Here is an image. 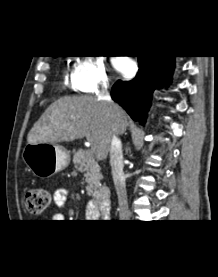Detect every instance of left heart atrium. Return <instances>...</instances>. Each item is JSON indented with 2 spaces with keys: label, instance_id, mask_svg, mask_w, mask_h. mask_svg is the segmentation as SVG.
<instances>
[{
  "label": "left heart atrium",
  "instance_id": "39dd6f15",
  "mask_svg": "<svg viewBox=\"0 0 218 277\" xmlns=\"http://www.w3.org/2000/svg\"><path fill=\"white\" fill-rule=\"evenodd\" d=\"M114 67L120 72H125L129 68V62L125 60H116L114 62Z\"/></svg>",
  "mask_w": 218,
  "mask_h": 277
}]
</instances>
